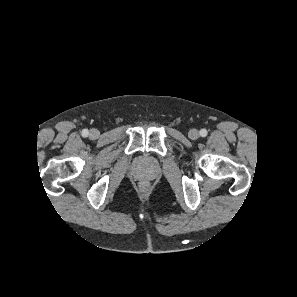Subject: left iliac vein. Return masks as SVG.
<instances>
[{
    "mask_svg": "<svg viewBox=\"0 0 297 297\" xmlns=\"http://www.w3.org/2000/svg\"><path fill=\"white\" fill-rule=\"evenodd\" d=\"M188 136L192 140H196L199 138V132L196 129H191L188 133Z\"/></svg>",
    "mask_w": 297,
    "mask_h": 297,
    "instance_id": "1",
    "label": "left iliac vein"
}]
</instances>
